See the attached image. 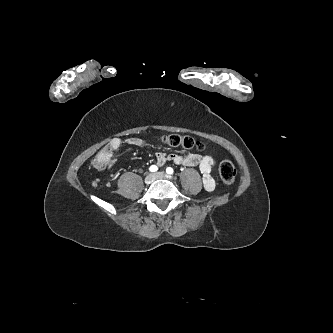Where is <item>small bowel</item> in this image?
<instances>
[{"label": "small bowel", "instance_id": "c3829d8e", "mask_svg": "<svg viewBox=\"0 0 333 333\" xmlns=\"http://www.w3.org/2000/svg\"><path fill=\"white\" fill-rule=\"evenodd\" d=\"M125 143L132 146L143 147L145 142L136 137L125 139ZM123 144L120 138H114L110 142L109 146L100 151L96 158L103 160L106 164L112 163V152L118 150ZM157 164L163 166L165 163L171 161L177 165L198 167L202 174V181L205 190L213 191L216 183L212 176V172L215 168L216 161L209 155H200L195 153L189 154H166L158 153L156 157Z\"/></svg>", "mask_w": 333, "mask_h": 333}]
</instances>
